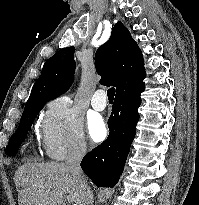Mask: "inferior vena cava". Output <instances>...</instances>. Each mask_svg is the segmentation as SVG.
<instances>
[{
  "mask_svg": "<svg viewBox=\"0 0 199 205\" xmlns=\"http://www.w3.org/2000/svg\"><path fill=\"white\" fill-rule=\"evenodd\" d=\"M86 150L87 149L84 144L72 150L66 158V165L69 168V170L72 172L75 179L79 182L81 189L84 191L87 200L86 204L92 205L93 195L89 186L85 181L80 166L81 160L83 156L86 154Z\"/></svg>",
  "mask_w": 199,
  "mask_h": 205,
  "instance_id": "obj_1",
  "label": "inferior vena cava"
}]
</instances>
